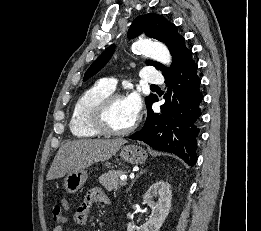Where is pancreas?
<instances>
[{
	"instance_id": "1",
	"label": "pancreas",
	"mask_w": 261,
	"mask_h": 231,
	"mask_svg": "<svg viewBox=\"0 0 261 231\" xmlns=\"http://www.w3.org/2000/svg\"><path fill=\"white\" fill-rule=\"evenodd\" d=\"M123 174L120 170H110L99 177V182L108 191H113L114 193L123 186V182L119 177Z\"/></svg>"
}]
</instances>
